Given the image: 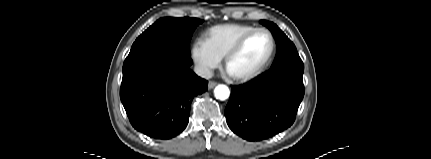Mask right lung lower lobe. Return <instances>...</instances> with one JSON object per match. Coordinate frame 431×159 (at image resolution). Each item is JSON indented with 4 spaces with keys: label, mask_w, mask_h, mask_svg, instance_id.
I'll return each instance as SVG.
<instances>
[{
    "label": "right lung lower lobe",
    "mask_w": 431,
    "mask_h": 159,
    "mask_svg": "<svg viewBox=\"0 0 431 159\" xmlns=\"http://www.w3.org/2000/svg\"><path fill=\"white\" fill-rule=\"evenodd\" d=\"M192 63L190 55L164 44L130 51L120 98L136 130L171 139L186 128L193 98L208 89V81L189 68Z\"/></svg>",
    "instance_id": "right-lung-lower-lobe-1"
}]
</instances>
